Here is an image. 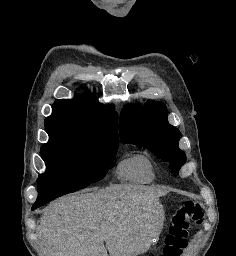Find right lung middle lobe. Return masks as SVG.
Masks as SVG:
<instances>
[{"label":"right lung middle lobe","instance_id":"dd1d6c3e","mask_svg":"<svg viewBox=\"0 0 236 256\" xmlns=\"http://www.w3.org/2000/svg\"><path fill=\"white\" fill-rule=\"evenodd\" d=\"M47 133L49 141L41 147L47 169L39 175L36 202L51 201L101 180L112 165L119 145V141L70 131Z\"/></svg>","mask_w":236,"mask_h":256}]
</instances>
